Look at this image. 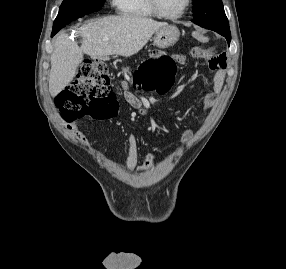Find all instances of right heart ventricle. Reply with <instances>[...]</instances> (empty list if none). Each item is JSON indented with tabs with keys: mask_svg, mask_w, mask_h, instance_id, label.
Listing matches in <instances>:
<instances>
[{
	"mask_svg": "<svg viewBox=\"0 0 286 269\" xmlns=\"http://www.w3.org/2000/svg\"><path fill=\"white\" fill-rule=\"evenodd\" d=\"M118 12L131 18H153L157 15L151 9L148 0H114Z\"/></svg>",
	"mask_w": 286,
	"mask_h": 269,
	"instance_id": "e07e8e85",
	"label": "right heart ventricle"
}]
</instances>
